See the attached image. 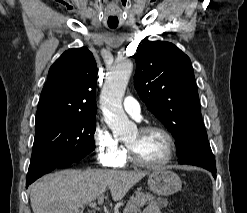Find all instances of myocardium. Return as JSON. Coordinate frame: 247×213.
I'll return each mask as SVG.
<instances>
[{
	"instance_id": "myocardium-1",
	"label": "myocardium",
	"mask_w": 247,
	"mask_h": 213,
	"mask_svg": "<svg viewBox=\"0 0 247 213\" xmlns=\"http://www.w3.org/2000/svg\"><path fill=\"white\" fill-rule=\"evenodd\" d=\"M140 133H147L150 131H158L160 132L166 139L167 142V152L163 160L157 163H149L141 160L133 150V148L126 144V150L128 154V159L131 163L135 164L136 166L147 168V169H160L165 167L170 161L173 159L175 153V140L172 134L163 126L157 124H148L143 125L138 128Z\"/></svg>"
}]
</instances>
